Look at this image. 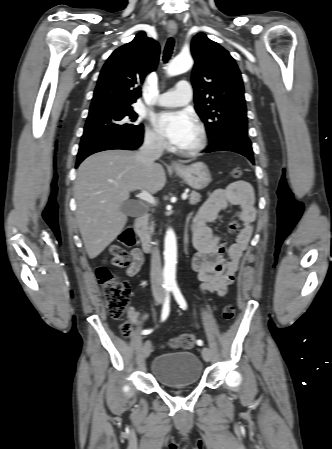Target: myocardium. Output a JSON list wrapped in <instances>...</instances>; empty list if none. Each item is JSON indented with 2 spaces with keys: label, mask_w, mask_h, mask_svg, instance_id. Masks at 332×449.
<instances>
[{
  "label": "myocardium",
  "mask_w": 332,
  "mask_h": 449,
  "mask_svg": "<svg viewBox=\"0 0 332 449\" xmlns=\"http://www.w3.org/2000/svg\"><path fill=\"white\" fill-rule=\"evenodd\" d=\"M197 139L193 145L187 148H181L179 151L184 155H196L205 149L207 145V133L200 124L196 125Z\"/></svg>",
  "instance_id": "1"
}]
</instances>
